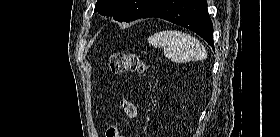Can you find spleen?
Wrapping results in <instances>:
<instances>
[{"instance_id":"obj_1","label":"spleen","mask_w":280,"mask_h":137,"mask_svg":"<svg viewBox=\"0 0 280 137\" xmlns=\"http://www.w3.org/2000/svg\"><path fill=\"white\" fill-rule=\"evenodd\" d=\"M150 45L163 48L164 55L177 63L203 60L207 52L195 37L178 30L155 33L148 38Z\"/></svg>"}]
</instances>
